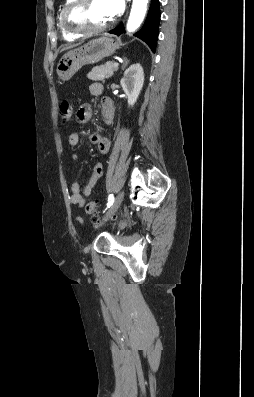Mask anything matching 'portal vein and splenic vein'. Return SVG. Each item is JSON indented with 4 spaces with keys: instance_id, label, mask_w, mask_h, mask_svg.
<instances>
[{
    "instance_id": "obj_1",
    "label": "portal vein and splenic vein",
    "mask_w": 254,
    "mask_h": 397,
    "mask_svg": "<svg viewBox=\"0 0 254 397\" xmlns=\"http://www.w3.org/2000/svg\"><path fill=\"white\" fill-rule=\"evenodd\" d=\"M119 63L118 62H114V67H118Z\"/></svg>"
}]
</instances>
